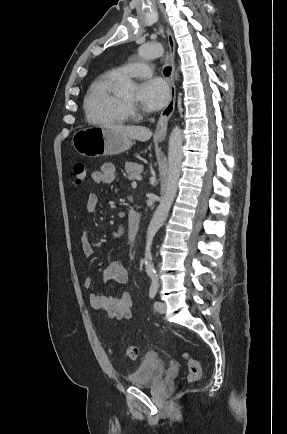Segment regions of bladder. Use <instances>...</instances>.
I'll list each match as a JSON object with an SVG mask.
<instances>
[{"label": "bladder", "instance_id": "obj_1", "mask_svg": "<svg viewBox=\"0 0 287 434\" xmlns=\"http://www.w3.org/2000/svg\"><path fill=\"white\" fill-rule=\"evenodd\" d=\"M166 371L165 361L158 354L150 353L127 377V382L134 387L148 386L158 381Z\"/></svg>", "mask_w": 287, "mask_h": 434}]
</instances>
